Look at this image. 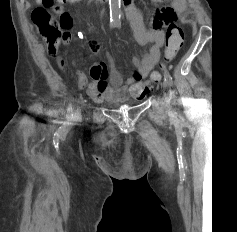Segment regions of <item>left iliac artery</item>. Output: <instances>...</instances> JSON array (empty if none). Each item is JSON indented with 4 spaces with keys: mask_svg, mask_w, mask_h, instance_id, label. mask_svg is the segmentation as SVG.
I'll return each mask as SVG.
<instances>
[{
    "mask_svg": "<svg viewBox=\"0 0 237 232\" xmlns=\"http://www.w3.org/2000/svg\"><path fill=\"white\" fill-rule=\"evenodd\" d=\"M164 77H165V80H167L169 82V85L173 86L172 77H171L170 73L167 70L164 71Z\"/></svg>",
    "mask_w": 237,
    "mask_h": 232,
    "instance_id": "left-iliac-artery-1",
    "label": "left iliac artery"
}]
</instances>
